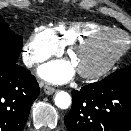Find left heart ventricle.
Masks as SVG:
<instances>
[{
	"label": "left heart ventricle",
	"instance_id": "obj_1",
	"mask_svg": "<svg viewBox=\"0 0 131 131\" xmlns=\"http://www.w3.org/2000/svg\"><path fill=\"white\" fill-rule=\"evenodd\" d=\"M126 43L120 35L108 36L88 49L79 50L72 55L78 70H92L105 63Z\"/></svg>",
	"mask_w": 131,
	"mask_h": 131
}]
</instances>
